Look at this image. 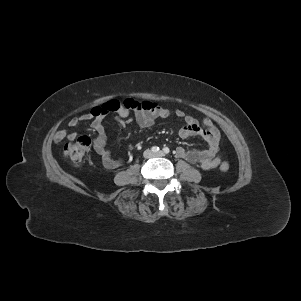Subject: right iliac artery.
Here are the masks:
<instances>
[{"instance_id":"right-iliac-artery-1","label":"right iliac artery","mask_w":301,"mask_h":301,"mask_svg":"<svg viewBox=\"0 0 301 301\" xmlns=\"http://www.w3.org/2000/svg\"><path fill=\"white\" fill-rule=\"evenodd\" d=\"M152 151H153L154 153L158 152V151H159V147L153 146V147H152Z\"/></svg>"}]
</instances>
